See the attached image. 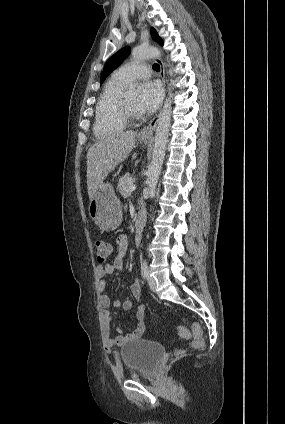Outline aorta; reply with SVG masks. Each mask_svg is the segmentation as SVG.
<instances>
[{
    "label": "aorta",
    "instance_id": "762f6f07",
    "mask_svg": "<svg viewBox=\"0 0 285 424\" xmlns=\"http://www.w3.org/2000/svg\"><path fill=\"white\" fill-rule=\"evenodd\" d=\"M131 54L134 61H142L145 59L161 57L160 51L157 48L151 46L135 47L132 49ZM127 91L129 94H135L139 91V86L137 84H130L128 86ZM171 97L172 96L170 93V96L164 102V106L158 117L153 156L151 164L148 168V174L146 179V184L148 186V192L150 196H153L155 194L156 186L165 157L169 128L171 125Z\"/></svg>",
    "mask_w": 285,
    "mask_h": 424
}]
</instances>
